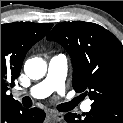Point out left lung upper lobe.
Masks as SVG:
<instances>
[{"mask_svg": "<svg viewBox=\"0 0 123 123\" xmlns=\"http://www.w3.org/2000/svg\"><path fill=\"white\" fill-rule=\"evenodd\" d=\"M47 40L58 42L68 52L73 88L88 94L91 106L123 108V46L111 32L95 23L62 22Z\"/></svg>", "mask_w": 123, "mask_h": 123, "instance_id": "5c2ea615", "label": "left lung upper lobe"}]
</instances>
